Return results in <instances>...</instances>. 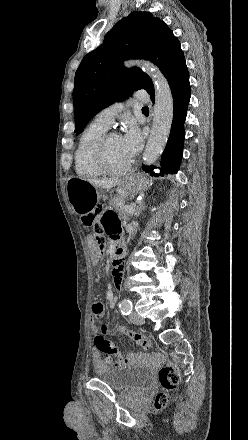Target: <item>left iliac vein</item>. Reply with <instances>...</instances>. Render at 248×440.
<instances>
[{
  "label": "left iliac vein",
  "instance_id": "4c4485c4",
  "mask_svg": "<svg viewBox=\"0 0 248 440\" xmlns=\"http://www.w3.org/2000/svg\"><path fill=\"white\" fill-rule=\"evenodd\" d=\"M129 319L133 324L136 325H141L144 323V319L137 312H132L129 316Z\"/></svg>",
  "mask_w": 248,
  "mask_h": 440
}]
</instances>
